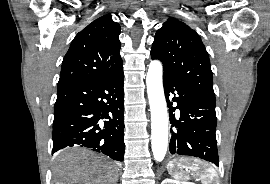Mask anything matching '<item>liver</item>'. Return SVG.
<instances>
[{"instance_id":"liver-1","label":"liver","mask_w":270,"mask_h":184,"mask_svg":"<svg viewBox=\"0 0 270 184\" xmlns=\"http://www.w3.org/2000/svg\"><path fill=\"white\" fill-rule=\"evenodd\" d=\"M52 171L53 184H117L118 181L115 163L83 148L63 152Z\"/></svg>"}]
</instances>
